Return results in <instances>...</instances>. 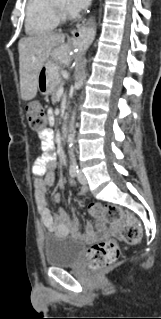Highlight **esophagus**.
Returning <instances> with one entry per match:
<instances>
[{"label": "esophagus", "mask_w": 161, "mask_h": 319, "mask_svg": "<svg viewBox=\"0 0 161 319\" xmlns=\"http://www.w3.org/2000/svg\"><path fill=\"white\" fill-rule=\"evenodd\" d=\"M72 38L82 46L89 45V30L86 25H80L71 31Z\"/></svg>", "instance_id": "34e87169"}]
</instances>
